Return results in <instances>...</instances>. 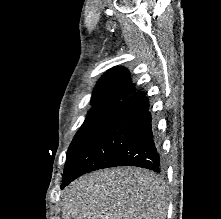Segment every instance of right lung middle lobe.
Listing matches in <instances>:
<instances>
[{"label":"right lung middle lobe","instance_id":"obj_1","mask_svg":"<svg viewBox=\"0 0 221 219\" xmlns=\"http://www.w3.org/2000/svg\"><path fill=\"white\" fill-rule=\"evenodd\" d=\"M91 104L93 107L89 111L83 125L71 142V145L67 151V158L89 136L95 127L104 119V117L119 104V102L106 101Z\"/></svg>","mask_w":221,"mask_h":219}]
</instances>
